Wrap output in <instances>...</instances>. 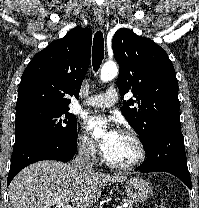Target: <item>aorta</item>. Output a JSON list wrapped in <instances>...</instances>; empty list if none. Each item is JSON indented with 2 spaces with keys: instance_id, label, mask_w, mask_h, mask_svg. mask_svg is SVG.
Masks as SVG:
<instances>
[{
  "instance_id": "aorta-1",
  "label": "aorta",
  "mask_w": 199,
  "mask_h": 208,
  "mask_svg": "<svg viewBox=\"0 0 199 208\" xmlns=\"http://www.w3.org/2000/svg\"><path fill=\"white\" fill-rule=\"evenodd\" d=\"M117 74H118L117 65L112 62L111 63L107 62L101 68L100 79L103 82H108V81L114 79L117 76ZM102 132H103L102 129H97L95 131V134L100 135V134H102Z\"/></svg>"
}]
</instances>
